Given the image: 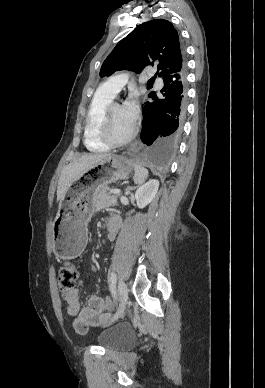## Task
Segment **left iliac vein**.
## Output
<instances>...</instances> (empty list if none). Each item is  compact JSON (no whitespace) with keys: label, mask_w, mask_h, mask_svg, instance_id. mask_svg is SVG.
<instances>
[{"label":"left iliac vein","mask_w":265,"mask_h":388,"mask_svg":"<svg viewBox=\"0 0 265 388\" xmlns=\"http://www.w3.org/2000/svg\"><path fill=\"white\" fill-rule=\"evenodd\" d=\"M118 292H119V298H120V306L113 320H117L123 315L127 305L128 289L126 284L123 281H119L118 283Z\"/></svg>","instance_id":"left-iliac-vein-1"}]
</instances>
